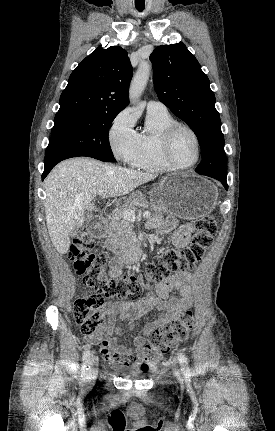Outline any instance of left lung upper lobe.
I'll return each mask as SVG.
<instances>
[{"label":"left lung upper lobe","mask_w":275,"mask_h":431,"mask_svg":"<svg viewBox=\"0 0 275 431\" xmlns=\"http://www.w3.org/2000/svg\"><path fill=\"white\" fill-rule=\"evenodd\" d=\"M159 100L196 134L202 151L197 173L227 174L224 136L210 82L183 43L157 47L150 55Z\"/></svg>","instance_id":"5c2ea615"}]
</instances>
